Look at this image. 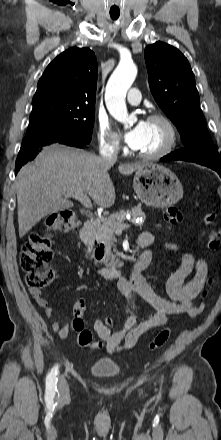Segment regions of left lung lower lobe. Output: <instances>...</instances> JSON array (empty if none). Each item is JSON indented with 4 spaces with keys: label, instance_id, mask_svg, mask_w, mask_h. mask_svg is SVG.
<instances>
[{
    "label": "left lung lower lobe",
    "instance_id": "obj_1",
    "mask_svg": "<svg viewBox=\"0 0 221 440\" xmlns=\"http://www.w3.org/2000/svg\"><path fill=\"white\" fill-rule=\"evenodd\" d=\"M172 160H183V159L180 156L176 155L175 153H171L161 158V161H172ZM213 170H215L221 176V168L215 167Z\"/></svg>",
    "mask_w": 221,
    "mask_h": 440
}]
</instances>
